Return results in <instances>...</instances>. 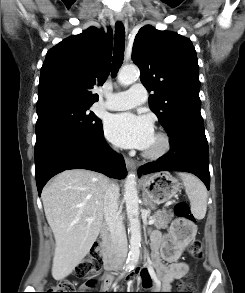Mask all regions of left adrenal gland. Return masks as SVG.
Wrapping results in <instances>:
<instances>
[{"label":"left adrenal gland","instance_id":"left-adrenal-gland-1","mask_svg":"<svg viewBox=\"0 0 245 293\" xmlns=\"http://www.w3.org/2000/svg\"><path fill=\"white\" fill-rule=\"evenodd\" d=\"M143 200H144V205L145 206H149V205L151 206V203L147 200L146 196H144Z\"/></svg>","mask_w":245,"mask_h":293}]
</instances>
